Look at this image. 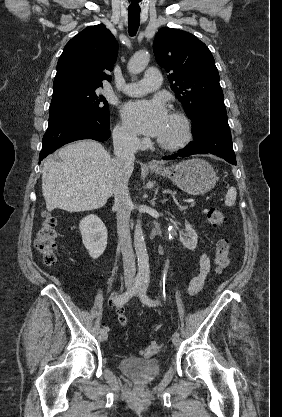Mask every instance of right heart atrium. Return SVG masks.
I'll use <instances>...</instances> for the list:
<instances>
[{
	"label": "right heart atrium",
	"mask_w": 282,
	"mask_h": 417,
	"mask_svg": "<svg viewBox=\"0 0 282 417\" xmlns=\"http://www.w3.org/2000/svg\"><path fill=\"white\" fill-rule=\"evenodd\" d=\"M114 140L119 148L129 151H135L139 146V141L136 136L123 124L116 126L114 130Z\"/></svg>",
	"instance_id": "obj_1"
}]
</instances>
